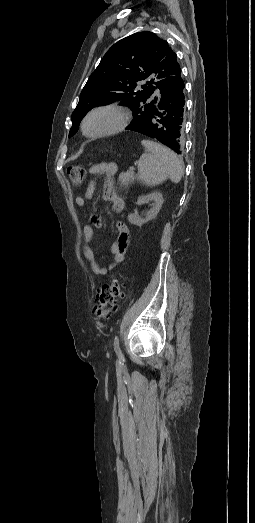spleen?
I'll return each instance as SVG.
<instances>
[{"instance_id": "obj_1", "label": "spleen", "mask_w": 255, "mask_h": 523, "mask_svg": "<svg viewBox=\"0 0 255 523\" xmlns=\"http://www.w3.org/2000/svg\"><path fill=\"white\" fill-rule=\"evenodd\" d=\"M142 146L146 148L149 154H142L138 160V178L145 186H158L167 178L171 182L178 184L183 176V166L177 154L172 150L150 142V140H143Z\"/></svg>"}]
</instances>
